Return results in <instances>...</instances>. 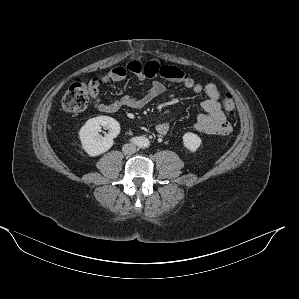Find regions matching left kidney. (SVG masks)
<instances>
[{"label":"left kidney","instance_id":"1","mask_svg":"<svg viewBox=\"0 0 299 299\" xmlns=\"http://www.w3.org/2000/svg\"><path fill=\"white\" fill-rule=\"evenodd\" d=\"M201 138L191 132H187L183 135V144L191 152H195L201 145Z\"/></svg>","mask_w":299,"mask_h":299}]
</instances>
